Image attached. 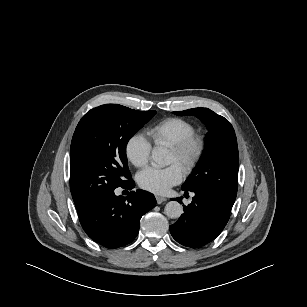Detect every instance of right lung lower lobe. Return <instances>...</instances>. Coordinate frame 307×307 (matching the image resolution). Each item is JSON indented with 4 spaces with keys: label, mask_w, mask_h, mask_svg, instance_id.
Masks as SVG:
<instances>
[{
    "label": "right lung lower lobe",
    "mask_w": 307,
    "mask_h": 307,
    "mask_svg": "<svg viewBox=\"0 0 307 307\" xmlns=\"http://www.w3.org/2000/svg\"><path fill=\"white\" fill-rule=\"evenodd\" d=\"M132 179L122 186L131 190ZM156 204L153 194L138 189L127 197L116 196L114 190L77 209L79 221L86 234L107 248L131 243L138 234L141 217Z\"/></svg>",
    "instance_id": "obj_1"
}]
</instances>
